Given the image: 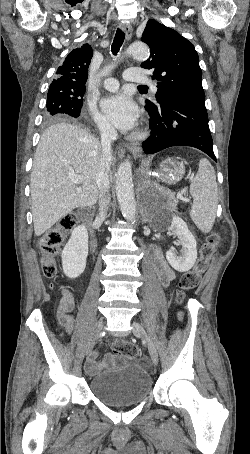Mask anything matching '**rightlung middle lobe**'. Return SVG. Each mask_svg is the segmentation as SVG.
<instances>
[{"mask_svg":"<svg viewBox=\"0 0 250 454\" xmlns=\"http://www.w3.org/2000/svg\"><path fill=\"white\" fill-rule=\"evenodd\" d=\"M85 89L75 92H61L49 89L45 111V121L50 122L62 116L77 118L83 105ZM71 94V95H70Z\"/></svg>","mask_w":250,"mask_h":454,"instance_id":"1","label":"right lung middle lobe"}]
</instances>
